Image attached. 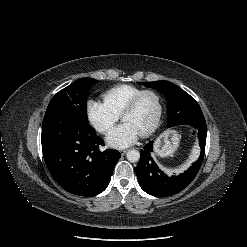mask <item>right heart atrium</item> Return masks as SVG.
Here are the masks:
<instances>
[{"label":"right heart atrium","mask_w":247,"mask_h":247,"mask_svg":"<svg viewBox=\"0 0 247 247\" xmlns=\"http://www.w3.org/2000/svg\"><path fill=\"white\" fill-rule=\"evenodd\" d=\"M86 116L90 124L100 133L109 131L119 119V115L105 102L96 99L87 101Z\"/></svg>","instance_id":"1"}]
</instances>
